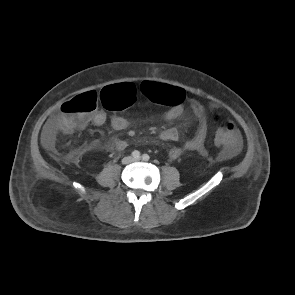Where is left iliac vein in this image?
Returning a JSON list of instances; mask_svg holds the SVG:
<instances>
[{"label": "left iliac vein", "instance_id": "1", "mask_svg": "<svg viewBox=\"0 0 295 295\" xmlns=\"http://www.w3.org/2000/svg\"><path fill=\"white\" fill-rule=\"evenodd\" d=\"M140 159L138 158V159H135V161H139Z\"/></svg>", "mask_w": 295, "mask_h": 295}]
</instances>
